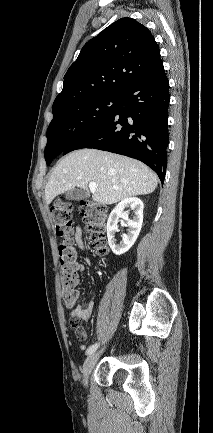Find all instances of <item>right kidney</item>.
Masks as SVG:
<instances>
[{
	"instance_id": "1",
	"label": "right kidney",
	"mask_w": 213,
	"mask_h": 433,
	"mask_svg": "<svg viewBox=\"0 0 213 433\" xmlns=\"http://www.w3.org/2000/svg\"><path fill=\"white\" fill-rule=\"evenodd\" d=\"M126 208L134 211L135 215L132 220L128 218L129 211H125ZM143 208L144 204L139 198L130 197L122 200L110 213L107 221V237L108 244L115 255L126 253L135 243L142 227ZM119 218L127 222L128 233L123 234L122 241L116 244L115 233L118 232Z\"/></svg>"
}]
</instances>
